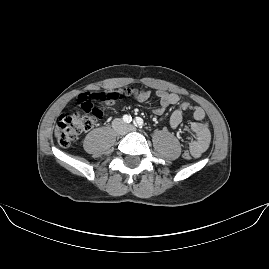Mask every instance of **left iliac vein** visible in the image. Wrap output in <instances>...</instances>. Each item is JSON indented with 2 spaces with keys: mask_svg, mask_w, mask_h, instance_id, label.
<instances>
[{
  "mask_svg": "<svg viewBox=\"0 0 269 269\" xmlns=\"http://www.w3.org/2000/svg\"><path fill=\"white\" fill-rule=\"evenodd\" d=\"M130 129H131V130H134V127H133V126H130Z\"/></svg>",
  "mask_w": 269,
  "mask_h": 269,
  "instance_id": "left-iliac-vein-1",
  "label": "left iliac vein"
}]
</instances>
